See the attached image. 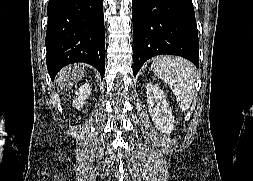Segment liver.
I'll return each instance as SVG.
<instances>
[{"mask_svg": "<svg viewBox=\"0 0 253 181\" xmlns=\"http://www.w3.org/2000/svg\"><path fill=\"white\" fill-rule=\"evenodd\" d=\"M84 65H70L58 74L57 82L61 84V89L64 91L69 90L75 81L82 79L84 75Z\"/></svg>", "mask_w": 253, "mask_h": 181, "instance_id": "6515ba94", "label": "liver"}]
</instances>
